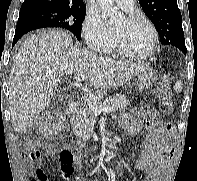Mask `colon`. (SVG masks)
Returning a JSON list of instances; mask_svg holds the SVG:
<instances>
[{
	"label": "colon",
	"instance_id": "1",
	"mask_svg": "<svg viewBox=\"0 0 197 181\" xmlns=\"http://www.w3.org/2000/svg\"><path fill=\"white\" fill-rule=\"evenodd\" d=\"M159 106L165 115L171 114L173 105L170 100L169 93V79L163 77L157 87ZM40 132L45 136H52L58 134L62 130V122L59 117L52 114H46L39 124ZM33 158L37 162H41L39 153H33ZM61 163V171L64 176L69 177L74 171V155L70 150H62L59 155ZM31 181H50L48 175L42 168H38L36 175Z\"/></svg>",
	"mask_w": 197,
	"mask_h": 181
}]
</instances>
